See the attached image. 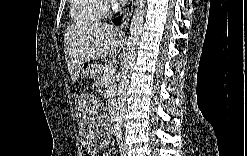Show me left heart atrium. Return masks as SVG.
<instances>
[{
	"label": "left heart atrium",
	"mask_w": 247,
	"mask_h": 156,
	"mask_svg": "<svg viewBox=\"0 0 247 156\" xmlns=\"http://www.w3.org/2000/svg\"><path fill=\"white\" fill-rule=\"evenodd\" d=\"M113 3H115V4H121V3H123V1L122 0H115V1H113Z\"/></svg>",
	"instance_id": "1"
}]
</instances>
